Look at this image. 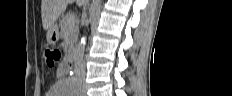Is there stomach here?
I'll use <instances>...</instances> for the list:
<instances>
[{
  "label": "stomach",
  "instance_id": "1",
  "mask_svg": "<svg viewBox=\"0 0 232 96\" xmlns=\"http://www.w3.org/2000/svg\"><path fill=\"white\" fill-rule=\"evenodd\" d=\"M61 35L59 32V27L58 26H54L52 29H50L47 32V42L50 45H55L56 42L60 39Z\"/></svg>",
  "mask_w": 232,
  "mask_h": 96
}]
</instances>
